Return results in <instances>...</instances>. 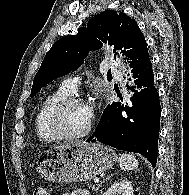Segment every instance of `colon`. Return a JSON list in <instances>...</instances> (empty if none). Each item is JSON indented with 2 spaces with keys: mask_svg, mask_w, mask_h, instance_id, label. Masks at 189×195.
Wrapping results in <instances>:
<instances>
[{
  "mask_svg": "<svg viewBox=\"0 0 189 195\" xmlns=\"http://www.w3.org/2000/svg\"><path fill=\"white\" fill-rule=\"evenodd\" d=\"M33 195H47V192L43 189H36Z\"/></svg>",
  "mask_w": 189,
  "mask_h": 195,
  "instance_id": "obj_1",
  "label": "colon"
}]
</instances>
